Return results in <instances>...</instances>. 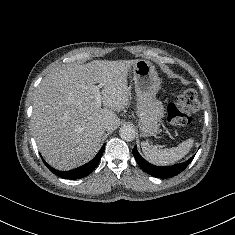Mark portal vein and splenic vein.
Returning <instances> with one entry per match:
<instances>
[{"instance_id":"1","label":"portal vein and splenic vein","mask_w":235,"mask_h":235,"mask_svg":"<svg viewBox=\"0 0 235 235\" xmlns=\"http://www.w3.org/2000/svg\"><path fill=\"white\" fill-rule=\"evenodd\" d=\"M93 89H94L96 104H97V106H101L102 96H101V94L99 92V87L95 86Z\"/></svg>"}]
</instances>
